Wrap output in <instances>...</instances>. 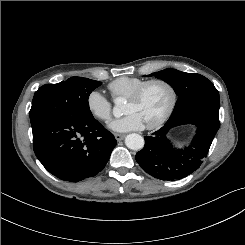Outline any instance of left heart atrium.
<instances>
[{
	"mask_svg": "<svg viewBox=\"0 0 245 245\" xmlns=\"http://www.w3.org/2000/svg\"><path fill=\"white\" fill-rule=\"evenodd\" d=\"M109 127L117 132H127L141 130L145 127V124L137 114L130 113L113 120Z\"/></svg>",
	"mask_w": 245,
	"mask_h": 245,
	"instance_id": "obj_1",
	"label": "left heart atrium"
}]
</instances>
